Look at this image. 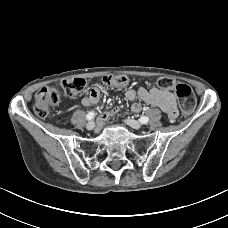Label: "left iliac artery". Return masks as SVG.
Here are the masks:
<instances>
[{"mask_svg": "<svg viewBox=\"0 0 228 228\" xmlns=\"http://www.w3.org/2000/svg\"><path fill=\"white\" fill-rule=\"evenodd\" d=\"M139 121L142 123V124H147L148 121H149V118L147 116H142Z\"/></svg>", "mask_w": 228, "mask_h": 228, "instance_id": "left-iliac-artery-1", "label": "left iliac artery"}]
</instances>
